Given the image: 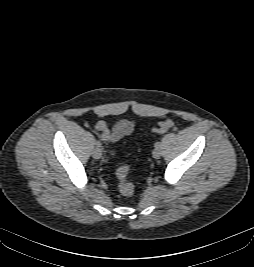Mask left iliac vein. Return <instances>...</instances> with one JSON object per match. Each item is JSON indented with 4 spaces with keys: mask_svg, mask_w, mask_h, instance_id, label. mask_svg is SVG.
<instances>
[{
    "mask_svg": "<svg viewBox=\"0 0 254 267\" xmlns=\"http://www.w3.org/2000/svg\"><path fill=\"white\" fill-rule=\"evenodd\" d=\"M153 157L155 159H159L161 157V154H162V151L159 147H156L154 150H153Z\"/></svg>",
    "mask_w": 254,
    "mask_h": 267,
    "instance_id": "4c4485c4",
    "label": "left iliac vein"
}]
</instances>
